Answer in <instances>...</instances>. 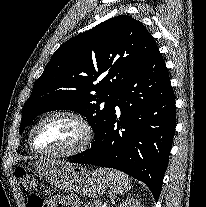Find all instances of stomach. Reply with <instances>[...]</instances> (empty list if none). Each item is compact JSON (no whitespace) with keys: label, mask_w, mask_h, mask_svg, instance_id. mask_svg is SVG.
<instances>
[{"label":"stomach","mask_w":206,"mask_h":207,"mask_svg":"<svg viewBox=\"0 0 206 207\" xmlns=\"http://www.w3.org/2000/svg\"><path fill=\"white\" fill-rule=\"evenodd\" d=\"M33 166L52 186L91 198L101 197L109 186L104 179L84 166L52 159L39 160Z\"/></svg>","instance_id":"0dacf381"}]
</instances>
